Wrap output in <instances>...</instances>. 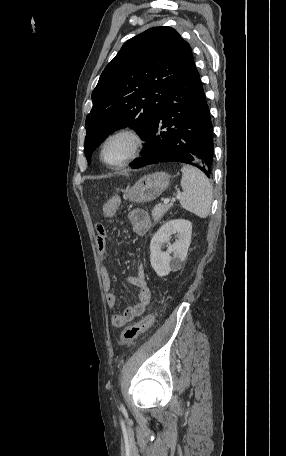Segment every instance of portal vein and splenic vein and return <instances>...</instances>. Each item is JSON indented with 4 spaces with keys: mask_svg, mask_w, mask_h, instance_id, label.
<instances>
[{
    "mask_svg": "<svg viewBox=\"0 0 286 456\" xmlns=\"http://www.w3.org/2000/svg\"><path fill=\"white\" fill-rule=\"evenodd\" d=\"M169 202H170V199H169V198H166V199L164 200V203H165V204H168Z\"/></svg>",
    "mask_w": 286,
    "mask_h": 456,
    "instance_id": "portal-vein-and-splenic-vein-1",
    "label": "portal vein and splenic vein"
}]
</instances>
